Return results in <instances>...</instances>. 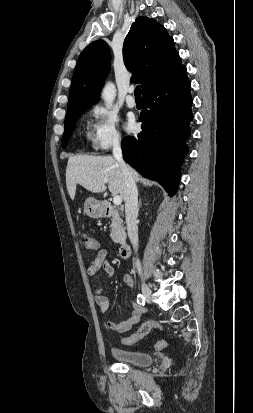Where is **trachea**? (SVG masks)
I'll list each match as a JSON object with an SVG mask.
<instances>
[{
  "label": "trachea",
  "mask_w": 253,
  "mask_h": 413,
  "mask_svg": "<svg viewBox=\"0 0 253 413\" xmlns=\"http://www.w3.org/2000/svg\"><path fill=\"white\" fill-rule=\"evenodd\" d=\"M134 95H135V98H141L140 85H138V86L135 88Z\"/></svg>",
  "instance_id": "trachea-1"
}]
</instances>
